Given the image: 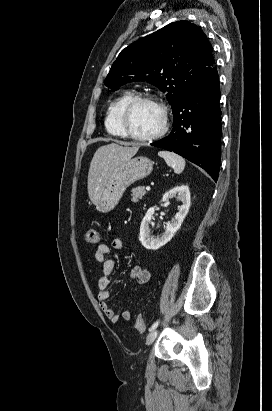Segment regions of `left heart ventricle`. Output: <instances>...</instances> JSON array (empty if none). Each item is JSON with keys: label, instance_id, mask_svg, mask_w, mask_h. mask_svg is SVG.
<instances>
[{"label": "left heart ventricle", "instance_id": "b2bd125f", "mask_svg": "<svg viewBox=\"0 0 272 411\" xmlns=\"http://www.w3.org/2000/svg\"><path fill=\"white\" fill-rule=\"evenodd\" d=\"M161 124V112L152 103L142 102L136 104L128 116V127L137 135H151L161 127Z\"/></svg>", "mask_w": 272, "mask_h": 411}]
</instances>
